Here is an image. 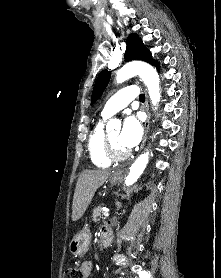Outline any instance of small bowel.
Listing matches in <instances>:
<instances>
[{
  "label": "small bowel",
  "instance_id": "small-bowel-1",
  "mask_svg": "<svg viewBox=\"0 0 221 278\" xmlns=\"http://www.w3.org/2000/svg\"><path fill=\"white\" fill-rule=\"evenodd\" d=\"M80 269L83 273V278H89L93 270V263L90 261L83 262Z\"/></svg>",
  "mask_w": 221,
  "mask_h": 278
}]
</instances>
